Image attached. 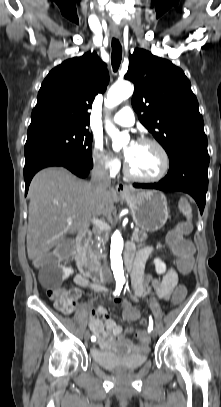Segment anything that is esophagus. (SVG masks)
I'll list each match as a JSON object with an SVG mask.
<instances>
[{
    "label": "esophagus",
    "mask_w": 221,
    "mask_h": 407,
    "mask_svg": "<svg viewBox=\"0 0 221 407\" xmlns=\"http://www.w3.org/2000/svg\"><path fill=\"white\" fill-rule=\"evenodd\" d=\"M115 38H119V36L116 35ZM116 191L119 194H127V193H129L130 190H129V187L126 184L118 183L116 185Z\"/></svg>",
    "instance_id": "34e87169"
}]
</instances>
